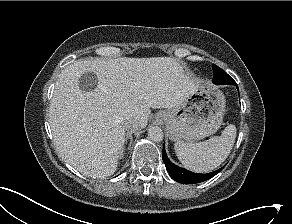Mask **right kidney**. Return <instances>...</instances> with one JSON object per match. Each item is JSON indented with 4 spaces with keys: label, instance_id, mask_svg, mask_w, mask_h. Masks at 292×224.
Instances as JSON below:
<instances>
[{
    "label": "right kidney",
    "instance_id": "1",
    "mask_svg": "<svg viewBox=\"0 0 292 224\" xmlns=\"http://www.w3.org/2000/svg\"><path fill=\"white\" fill-rule=\"evenodd\" d=\"M123 149L120 151L119 155H118V158H122L123 157Z\"/></svg>",
    "mask_w": 292,
    "mask_h": 224
}]
</instances>
